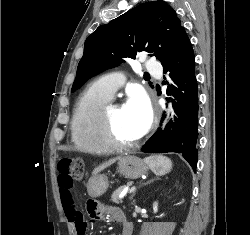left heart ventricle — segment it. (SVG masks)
I'll return each instance as SVG.
<instances>
[{
    "label": "left heart ventricle",
    "instance_id": "obj_1",
    "mask_svg": "<svg viewBox=\"0 0 250 235\" xmlns=\"http://www.w3.org/2000/svg\"><path fill=\"white\" fill-rule=\"evenodd\" d=\"M115 131L118 138L124 142H133L141 137L135 126L131 114L125 107L115 108L112 110Z\"/></svg>",
    "mask_w": 250,
    "mask_h": 235
}]
</instances>
